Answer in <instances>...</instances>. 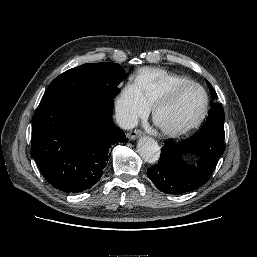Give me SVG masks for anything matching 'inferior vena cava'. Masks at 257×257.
Returning a JSON list of instances; mask_svg holds the SVG:
<instances>
[{
	"label": "inferior vena cava",
	"mask_w": 257,
	"mask_h": 257,
	"mask_svg": "<svg viewBox=\"0 0 257 257\" xmlns=\"http://www.w3.org/2000/svg\"><path fill=\"white\" fill-rule=\"evenodd\" d=\"M116 121L125 130L132 129L138 124L137 116L124 110H116Z\"/></svg>",
	"instance_id": "obj_1"
}]
</instances>
